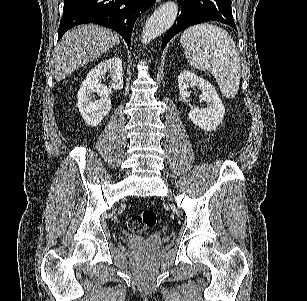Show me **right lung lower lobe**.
Returning <instances> with one entry per match:
<instances>
[{
  "mask_svg": "<svg viewBox=\"0 0 307 301\" xmlns=\"http://www.w3.org/2000/svg\"><path fill=\"white\" fill-rule=\"evenodd\" d=\"M155 0H64L58 40L74 26L95 23L118 32L131 44V33L137 17Z\"/></svg>",
  "mask_w": 307,
  "mask_h": 301,
  "instance_id": "98d812e1",
  "label": "right lung lower lobe"
}]
</instances>
